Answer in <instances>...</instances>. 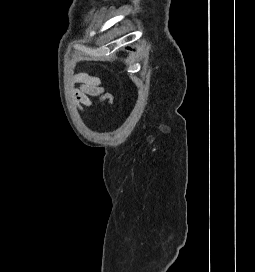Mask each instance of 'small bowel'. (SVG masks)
Masks as SVG:
<instances>
[{
  "instance_id": "c3829d8e",
  "label": "small bowel",
  "mask_w": 255,
  "mask_h": 272,
  "mask_svg": "<svg viewBox=\"0 0 255 272\" xmlns=\"http://www.w3.org/2000/svg\"><path fill=\"white\" fill-rule=\"evenodd\" d=\"M74 82L79 85L74 92L78 106L92 107L98 103L112 102V96L100 86V80L97 77L78 73L74 76Z\"/></svg>"
}]
</instances>
